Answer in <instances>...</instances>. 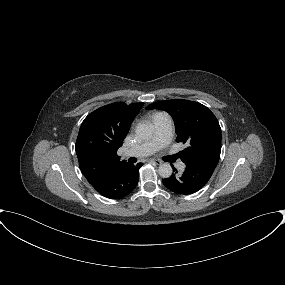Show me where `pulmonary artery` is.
<instances>
[{
    "label": "pulmonary artery",
    "instance_id": "1",
    "mask_svg": "<svg viewBox=\"0 0 285 285\" xmlns=\"http://www.w3.org/2000/svg\"><path fill=\"white\" fill-rule=\"evenodd\" d=\"M154 133L150 140L128 149L125 151V156L145 157L160 148L167 147L172 138V120L168 114L159 113L152 119ZM179 168L183 169L184 164L179 163Z\"/></svg>",
    "mask_w": 285,
    "mask_h": 285
}]
</instances>
